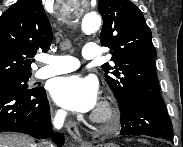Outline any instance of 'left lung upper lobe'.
<instances>
[{
    "label": "left lung upper lobe",
    "mask_w": 183,
    "mask_h": 147,
    "mask_svg": "<svg viewBox=\"0 0 183 147\" xmlns=\"http://www.w3.org/2000/svg\"><path fill=\"white\" fill-rule=\"evenodd\" d=\"M103 17L100 41L111 49V64L101 67L119 107L136 96L161 98L151 31L130 0H100Z\"/></svg>",
    "instance_id": "left-lung-upper-lobe-1"
}]
</instances>
